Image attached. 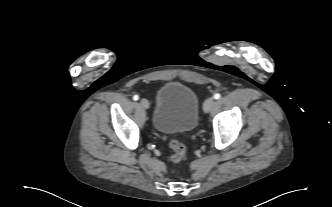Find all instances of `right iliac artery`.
Listing matches in <instances>:
<instances>
[{
    "instance_id": "obj_1",
    "label": "right iliac artery",
    "mask_w": 332,
    "mask_h": 207,
    "mask_svg": "<svg viewBox=\"0 0 332 207\" xmlns=\"http://www.w3.org/2000/svg\"><path fill=\"white\" fill-rule=\"evenodd\" d=\"M139 99V96L138 95H134L133 96V100L137 101Z\"/></svg>"
}]
</instances>
